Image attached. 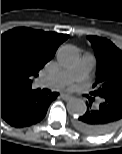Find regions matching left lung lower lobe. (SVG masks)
<instances>
[{
  "instance_id": "left-lung-lower-lobe-1",
  "label": "left lung lower lobe",
  "mask_w": 122,
  "mask_h": 154,
  "mask_svg": "<svg viewBox=\"0 0 122 154\" xmlns=\"http://www.w3.org/2000/svg\"><path fill=\"white\" fill-rule=\"evenodd\" d=\"M94 99L89 98L92 102ZM122 120V90L109 93L96 108L87 107V112L74 121L75 127L89 135H103Z\"/></svg>"
}]
</instances>
